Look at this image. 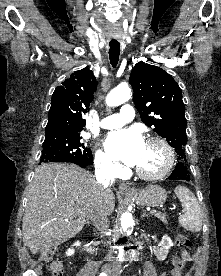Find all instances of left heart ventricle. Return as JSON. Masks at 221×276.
<instances>
[{
	"label": "left heart ventricle",
	"instance_id": "left-heart-ventricle-1",
	"mask_svg": "<svg viewBox=\"0 0 221 276\" xmlns=\"http://www.w3.org/2000/svg\"><path fill=\"white\" fill-rule=\"evenodd\" d=\"M165 162V154L158 144H145L141 161L137 168L145 172H156L160 170Z\"/></svg>",
	"mask_w": 221,
	"mask_h": 276
}]
</instances>
